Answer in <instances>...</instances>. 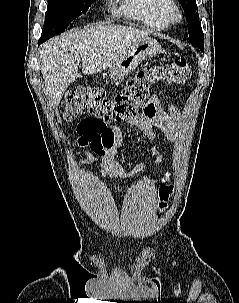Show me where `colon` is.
Listing matches in <instances>:
<instances>
[{
    "label": "colon",
    "instance_id": "1",
    "mask_svg": "<svg viewBox=\"0 0 239 303\" xmlns=\"http://www.w3.org/2000/svg\"><path fill=\"white\" fill-rule=\"evenodd\" d=\"M190 77L191 70L185 58H176L166 64L144 66L114 97H108L101 89L89 87H80L68 92L64 98V117L68 120L83 114L94 115L96 121L90 128L98 133L107 123L135 117L154 84L181 85ZM173 191L171 186L160 188L158 194L160 209L166 207Z\"/></svg>",
    "mask_w": 239,
    "mask_h": 303
}]
</instances>
